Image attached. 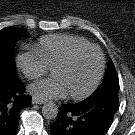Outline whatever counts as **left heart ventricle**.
Wrapping results in <instances>:
<instances>
[{
  "mask_svg": "<svg viewBox=\"0 0 135 135\" xmlns=\"http://www.w3.org/2000/svg\"><path fill=\"white\" fill-rule=\"evenodd\" d=\"M98 69V54L88 50L78 54L69 64L54 69L52 75L62 80L68 93L79 94L91 85Z\"/></svg>",
  "mask_w": 135,
  "mask_h": 135,
  "instance_id": "obj_1",
  "label": "left heart ventricle"
}]
</instances>
